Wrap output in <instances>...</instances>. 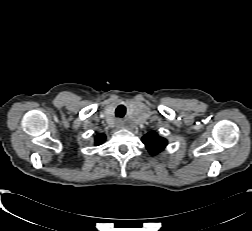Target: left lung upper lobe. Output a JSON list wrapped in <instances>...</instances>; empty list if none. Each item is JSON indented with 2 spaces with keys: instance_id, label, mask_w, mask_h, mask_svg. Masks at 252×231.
I'll use <instances>...</instances> for the list:
<instances>
[{
  "instance_id": "left-lung-upper-lobe-1",
  "label": "left lung upper lobe",
  "mask_w": 252,
  "mask_h": 231,
  "mask_svg": "<svg viewBox=\"0 0 252 231\" xmlns=\"http://www.w3.org/2000/svg\"><path fill=\"white\" fill-rule=\"evenodd\" d=\"M142 142L151 155L160 153L167 145V140L158 136L155 132H149L142 137Z\"/></svg>"
}]
</instances>
